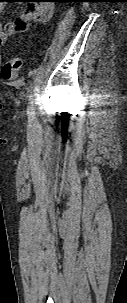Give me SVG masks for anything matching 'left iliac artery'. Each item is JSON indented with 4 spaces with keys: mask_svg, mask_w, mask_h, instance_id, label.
Wrapping results in <instances>:
<instances>
[{
    "mask_svg": "<svg viewBox=\"0 0 127 303\" xmlns=\"http://www.w3.org/2000/svg\"><path fill=\"white\" fill-rule=\"evenodd\" d=\"M27 114L29 119L34 120L35 119V112H34V107H33V96H29V106L27 109Z\"/></svg>",
    "mask_w": 127,
    "mask_h": 303,
    "instance_id": "1",
    "label": "left iliac artery"
}]
</instances>
